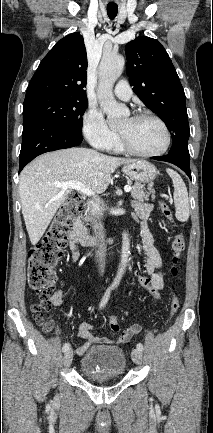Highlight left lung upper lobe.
Returning <instances> with one entry per match:
<instances>
[{
    "label": "left lung upper lobe",
    "instance_id": "left-lung-upper-lobe-1",
    "mask_svg": "<svg viewBox=\"0 0 213 433\" xmlns=\"http://www.w3.org/2000/svg\"><path fill=\"white\" fill-rule=\"evenodd\" d=\"M125 52L133 91L172 134L169 154L189 158L185 93L165 48L155 39L140 36L126 45Z\"/></svg>",
    "mask_w": 213,
    "mask_h": 433
}]
</instances>
